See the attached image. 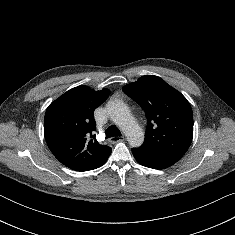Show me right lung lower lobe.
<instances>
[{
    "label": "right lung lower lobe",
    "mask_w": 235,
    "mask_h": 235,
    "mask_svg": "<svg viewBox=\"0 0 235 235\" xmlns=\"http://www.w3.org/2000/svg\"><path fill=\"white\" fill-rule=\"evenodd\" d=\"M108 157H109V156H108ZM108 157H107L97 168H99L100 166H102V165L107 161Z\"/></svg>",
    "instance_id": "right-lung-lower-lobe-1"
}]
</instances>
